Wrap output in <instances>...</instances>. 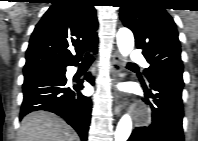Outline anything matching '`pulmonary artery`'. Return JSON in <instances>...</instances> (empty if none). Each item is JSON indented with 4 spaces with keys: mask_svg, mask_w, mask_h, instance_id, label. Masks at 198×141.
Segmentation results:
<instances>
[{
    "mask_svg": "<svg viewBox=\"0 0 198 141\" xmlns=\"http://www.w3.org/2000/svg\"><path fill=\"white\" fill-rule=\"evenodd\" d=\"M131 60H132L133 63L141 64V65H146V60L140 54H134V55H132Z\"/></svg>",
    "mask_w": 198,
    "mask_h": 141,
    "instance_id": "pulmonary-artery-1",
    "label": "pulmonary artery"
}]
</instances>
